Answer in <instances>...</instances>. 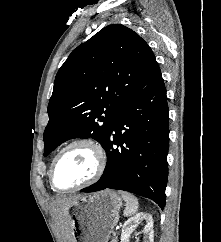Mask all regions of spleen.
Segmentation results:
<instances>
[{
    "label": "spleen",
    "mask_w": 221,
    "mask_h": 242,
    "mask_svg": "<svg viewBox=\"0 0 221 242\" xmlns=\"http://www.w3.org/2000/svg\"><path fill=\"white\" fill-rule=\"evenodd\" d=\"M120 195L125 201L124 215L128 217L135 214L138 211L137 198L134 195L123 191L120 192Z\"/></svg>",
    "instance_id": "spleen-1"
}]
</instances>
